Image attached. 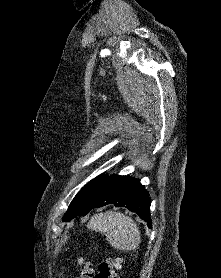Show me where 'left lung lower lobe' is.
<instances>
[{
	"mask_svg": "<svg viewBox=\"0 0 221 278\" xmlns=\"http://www.w3.org/2000/svg\"><path fill=\"white\" fill-rule=\"evenodd\" d=\"M108 204L136 212L151 228V199L148 192L138 179L118 175L96 177L87 185L71 214L63 221H70L78 215L84 216L93 208Z\"/></svg>",
	"mask_w": 221,
	"mask_h": 278,
	"instance_id": "0a47b994",
	"label": "left lung lower lobe"
}]
</instances>
